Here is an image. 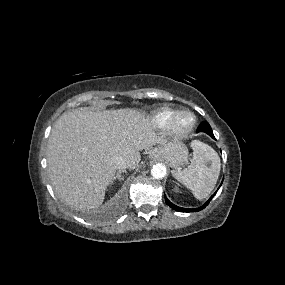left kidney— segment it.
Wrapping results in <instances>:
<instances>
[{"label": "left kidney", "mask_w": 285, "mask_h": 285, "mask_svg": "<svg viewBox=\"0 0 285 285\" xmlns=\"http://www.w3.org/2000/svg\"><path fill=\"white\" fill-rule=\"evenodd\" d=\"M175 191H176V192L178 191V188H177V187L175 188Z\"/></svg>", "instance_id": "obj_1"}]
</instances>
